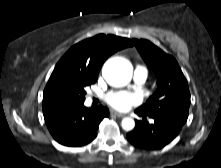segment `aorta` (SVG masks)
<instances>
[{
	"label": "aorta",
	"instance_id": "obj_1",
	"mask_svg": "<svg viewBox=\"0 0 221 168\" xmlns=\"http://www.w3.org/2000/svg\"><path fill=\"white\" fill-rule=\"evenodd\" d=\"M102 74L111 86L122 87L131 81L133 67L127 59L113 57L104 64ZM121 126L125 131H131L135 127V121L130 117H125L121 122Z\"/></svg>",
	"mask_w": 221,
	"mask_h": 168
}]
</instances>
